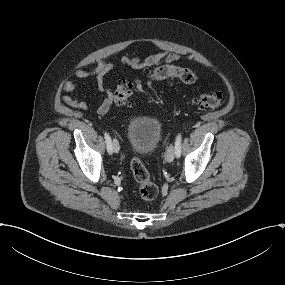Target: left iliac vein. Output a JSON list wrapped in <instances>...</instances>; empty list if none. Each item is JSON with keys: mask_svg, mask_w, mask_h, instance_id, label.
I'll return each instance as SVG.
<instances>
[{"mask_svg": "<svg viewBox=\"0 0 285 285\" xmlns=\"http://www.w3.org/2000/svg\"><path fill=\"white\" fill-rule=\"evenodd\" d=\"M175 156L177 157L176 153L174 152V146L170 145L167 150L166 161L168 163L172 162Z\"/></svg>", "mask_w": 285, "mask_h": 285, "instance_id": "4c4485c4", "label": "left iliac vein"}]
</instances>
